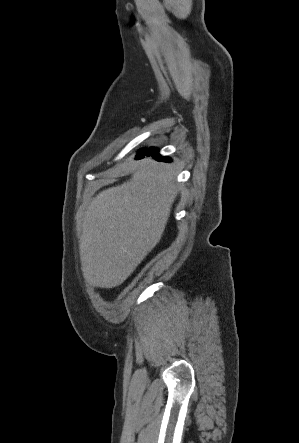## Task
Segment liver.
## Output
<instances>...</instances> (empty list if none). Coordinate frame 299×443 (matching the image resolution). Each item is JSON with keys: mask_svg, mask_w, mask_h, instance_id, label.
<instances>
[{"mask_svg": "<svg viewBox=\"0 0 299 443\" xmlns=\"http://www.w3.org/2000/svg\"><path fill=\"white\" fill-rule=\"evenodd\" d=\"M172 165L150 159L134 165L132 178L100 192L87 207L80 260L87 283L122 284L159 243L177 197Z\"/></svg>", "mask_w": 299, "mask_h": 443, "instance_id": "6515ba94", "label": "liver"}]
</instances>
